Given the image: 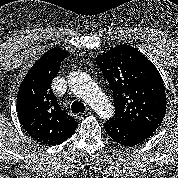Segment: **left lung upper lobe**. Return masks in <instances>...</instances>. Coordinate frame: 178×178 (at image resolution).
<instances>
[{
    "label": "left lung upper lobe",
    "mask_w": 178,
    "mask_h": 178,
    "mask_svg": "<svg viewBox=\"0 0 178 178\" xmlns=\"http://www.w3.org/2000/svg\"><path fill=\"white\" fill-rule=\"evenodd\" d=\"M95 61L113 92L112 119L159 127L165 116L166 94L153 63L127 44L110 49Z\"/></svg>",
    "instance_id": "5c2ea615"
}]
</instances>
